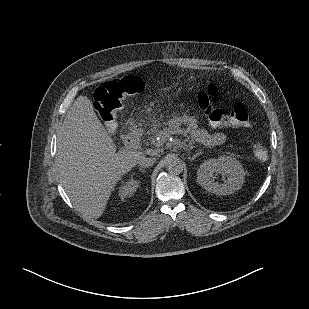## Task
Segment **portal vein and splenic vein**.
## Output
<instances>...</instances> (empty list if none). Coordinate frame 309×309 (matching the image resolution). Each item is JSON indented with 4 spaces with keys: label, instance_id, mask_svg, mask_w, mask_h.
I'll return each instance as SVG.
<instances>
[{
    "label": "portal vein and splenic vein",
    "instance_id": "portal-vein-and-splenic-vein-1",
    "mask_svg": "<svg viewBox=\"0 0 309 309\" xmlns=\"http://www.w3.org/2000/svg\"><path fill=\"white\" fill-rule=\"evenodd\" d=\"M157 141H158V143H157L156 146H159L160 144H163L165 142V139H160V140H157Z\"/></svg>",
    "mask_w": 309,
    "mask_h": 309
}]
</instances>
